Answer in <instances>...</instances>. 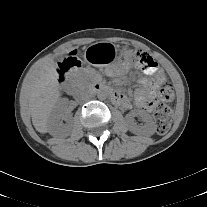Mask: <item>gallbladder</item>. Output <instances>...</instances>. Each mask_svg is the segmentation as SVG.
Instances as JSON below:
<instances>
[{
	"instance_id": "bac80fb5",
	"label": "gallbladder",
	"mask_w": 207,
	"mask_h": 207,
	"mask_svg": "<svg viewBox=\"0 0 207 207\" xmlns=\"http://www.w3.org/2000/svg\"><path fill=\"white\" fill-rule=\"evenodd\" d=\"M57 59H58V60H60V59H62V57H61V56H59Z\"/></svg>"
}]
</instances>
